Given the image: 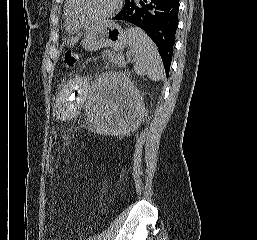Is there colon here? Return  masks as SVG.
<instances>
[{
	"instance_id": "obj_1",
	"label": "colon",
	"mask_w": 257,
	"mask_h": 240,
	"mask_svg": "<svg viewBox=\"0 0 257 240\" xmlns=\"http://www.w3.org/2000/svg\"><path fill=\"white\" fill-rule=\"evenodd\" d=\"M79 60V55L74 51H67L64 56V62L68 67H74ZM54 160V153H53V144L50 141L47 147V167L48 170H51L52 164Z\"/></svg>"
}]
</instances>
